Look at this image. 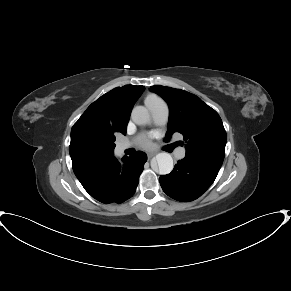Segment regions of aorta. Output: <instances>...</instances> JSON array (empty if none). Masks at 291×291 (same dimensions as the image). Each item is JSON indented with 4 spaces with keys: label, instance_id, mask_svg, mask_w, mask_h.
<instances>
[{
    "label": "aorta",
    "instance_id": "aorta-1",
    "mask_svg": "<svg viewBox=\"0 0 291 291\" xmlns=\"http://www.w3.org/2000/svg\"><path fill=\"white\" fill-rule=\"evenodd\" d=\"M132 120L138 125H145L150 121L149 111L144 106H136L132 110ZM159 173L169 174L173 170V158L167 152H162L155 157Z\"/></svg>",
    "mask_w": 291,
    "mask_h": 291
}]
</instances>
